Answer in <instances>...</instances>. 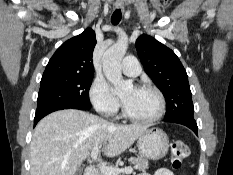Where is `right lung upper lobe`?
Listing matches in <instances>:
<instances>
[{
  "instance_id": "obj_1",
  "label": "right lung upper lobe",
  "mask_w": 233,
  "mask_h": 175,
  "mask_svg": "<svg viewBox=\"0 0 233 175\" xmlns=\"http://www.w3.org/2000/svg\"><path fill=\"white\" fill-rule=\"evenodd\" d=\"M95 32L88 28L63 43L49 60L42 78L94 74Z\"/></svg>"
}]
</instances>
